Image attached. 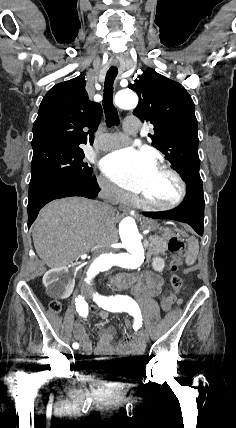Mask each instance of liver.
<instances>
[{"label": "liver", "mask_w": 236, "mask_h": 428, "mask_svg": "<svg viewBox=\"0 0 236 428\" xmlns=\"http://www.w3.org/2000/svg\"><path fill=\"white\" fill-rule=\"evenodd\" d=\"M34 248L48 268H63L95 244L118 242L114 216L86 198H62L44 206L32 230Z\"/></svg>", "instance_id": "6515ba94"}]
</instances>
